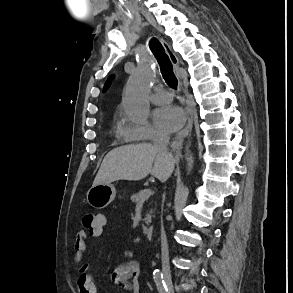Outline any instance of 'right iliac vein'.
Returning <instances> with one entry per match:
<instances>
[{
  "label": "right iliac vein",
  "mask_w": 293,
  "mask_h": 293,
  "mask_svg": "<svg viewBox=\"0 0 293 293\" xmlns=\"http://www.w3.org/2000/svg\"><path fill=\"white\" fill-rule=\"evenodd\" d=\"M164 279H165V282H166L167 287L169 289V293H174V288H173V285H172V282H171L170 275L165 274Z\"/></svg>",
  "instance_id": "obj_1"
}]
</instances>
